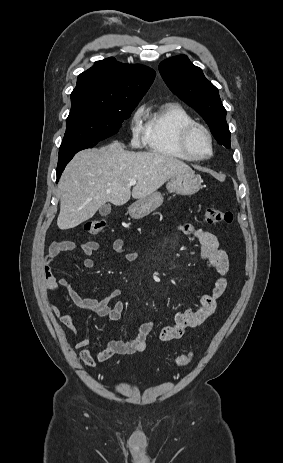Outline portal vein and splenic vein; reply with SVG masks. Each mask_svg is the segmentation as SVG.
<instances>
[{
    "label": "portal vein and splenic vein",
    "mask_w": 283,
    "mask_h": 463,
    "mask_svg": "<svg viewBox=\"0 0 283 463\" xmlns=\"http://www.w3.org/2000/svg\"><path fill=\"white\" fill-rule=\"evenodd\" d=\"M136 183H137V181L135 179H131L130 182H129V184L133 185V186L136 185Z\"/></svg>",
    "instance_id": "portal-vein-and-splenic-vein-1"
}]
</instances>
